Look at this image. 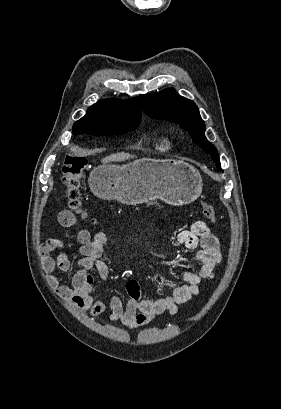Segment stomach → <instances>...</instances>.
<instances>
[{
  "instance_id": "1",
  "label": "stomach",
  "mask_w": 281,
  "mask_h": 409,
  "mask_svg": "<svg viewBox=\"0 0 281 409\" xmlns=\"http://www.w3.org/2000/svg\"><path fill=\"white\" fill-rule=\"evenodd\" d=\"M98 198L140 205L161 198L168 205L183 207L199 198L202 176L190 162L175 158H138L128 164H100L88 178Z\"/></svg>"
}]
</instances>
